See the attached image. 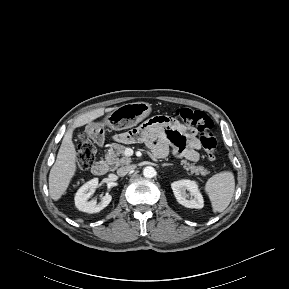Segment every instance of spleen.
Instances as JSON below:
<instances>
[{
    "label": "spleen",
    "instance_id": "1",
    "mask_svg": "<svg viewBox=\"0 0 289 289\" xmlns=\"http://www.w3.org/2000/svg\"><path fill=\"white\" fill-rule=\"evenodd\" d=\"M204 190L209 196L213 212H223L230 204L235 191L233 173L223 171L213 175L206 182Z\"/></svg>",
    "mask_w": 289,
    "mask_h": 289
}]
</instances>
